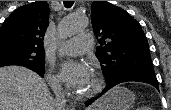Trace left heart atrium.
Listing matches in <instances>:
<instances>
[{"mask_svg": "<svg viewBox=\"0 0 171 110\" xmlns=\"http://www.w3.org/2000/svg\"><path fill=\"white\" fill-rule=\"evenodd\" d=\"M60 75L68 88L78 92L88 79L90 70L84 63L66 61L61 65Z\"/></svg>", "mask_w": 171, "mask_h": 110, "instance_id": "1", "label": "left heart atrium"}]
</instances>
